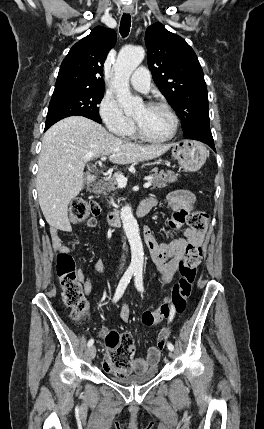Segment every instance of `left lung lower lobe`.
Masks as SVG:
<instances>
[{
	"label": "left lung lower lobe",
	"mask_w": 264,
	"mask_h": 429,
	"mask_svg": "<svg viewBox=\"0 0 264 429\" xmlns=\"http://www.w3.org/2000/svg\"><path fill=\"white\" fill-rule=\"evenodd\" d=\"M187 139H193V140H198L201 141L203 143H206L207 145H209L214 151L215 150V146H214V140L212 137V133L210 129H203L199 132H197L196 134L190 136Z\"/></svg>",
	"instance_id": "obj_1"
}]
</instances>
